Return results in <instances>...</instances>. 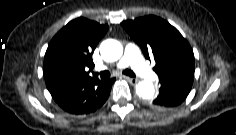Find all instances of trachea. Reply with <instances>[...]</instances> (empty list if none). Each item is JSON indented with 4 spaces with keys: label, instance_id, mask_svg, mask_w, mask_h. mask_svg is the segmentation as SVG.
<instances>
[{
    "label": "trachea",
    "instance_id": "1",
    "mask_svg": "<svg viewBox=\"0 0 236 135\" xmlns=\"http://www.w3.org/2000/svg\"><path fill=\"white\" fill-rule=\"evenodd\" d=\"M122 73L127 76H130V77H135L134 72L129 69L123 70ZM95 75H100L101 79H108L110 77V72L109 71H102L100 73H95Z\"/></svg>",
    "mask_w": 236,
    "mask_h": 135
}]
</instances>
